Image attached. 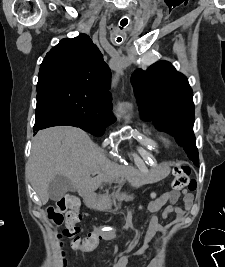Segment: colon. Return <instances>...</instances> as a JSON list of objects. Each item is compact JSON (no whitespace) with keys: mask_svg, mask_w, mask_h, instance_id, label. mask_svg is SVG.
I'll use <instances>...</instances> for the list:
<instances>
[{"mask_svg":"<svg viewBox=\"0 0 225 267\" xmlns=\"http://www.w3.org/2000/svg\"><path fill=\"white\" fill-rule=\"evenodd\" d=\"M173 182L172 188L175 191L185 189L193 190L196 183L190 178V168L183 162L175 163L173 167ZM80 201L75 196H68L59 199L54 206L47 209V214L52 223L60 227L64 222L65 226L58 234V238H67L70 240L71 246L85 252H90L94 249L93 236L81 238L79 236L80 227L78 223L81 221V213L79 211ZM59 267H67V260L64 253L61 254Z\"/></svg>","mask_w":225,"mask_h":267,"instance_id":"1","label":"colon"}]
</instances>
